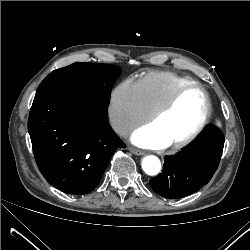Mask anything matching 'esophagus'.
<instances>
[{"label":"esophagus","instance_id":"1","mask_svg":"<svg viewBox=\"0 0 250 250\" xmlns=\"http://www.w3.org/2000/svg\"><path fill=\"white\" fill-rule=\"evenodd\" d=\"M129 151L135 155H143V151L134 147H129Z\"/></svg>","mask_w":250,"mask_h":250}]
</instances>
